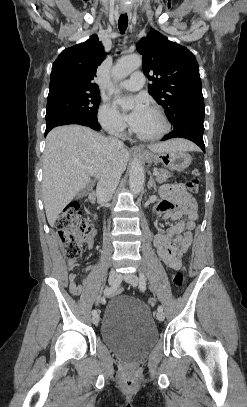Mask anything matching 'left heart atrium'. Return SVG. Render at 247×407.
<instances>
[{
    "label": "left heart atrium",
    "mask_w": 247,
    "mask_h": 407,
    "mask_svg": "<svg viewBox=\"0 0 247 407\" xmlns=\"http://www.w3.org/2000/svg\"><path fill=\"white\" fill-rule=\"evenodd\" d=\"M115 106L119 110L128 109V111L123 113V117L132 127H135L139 123L145 112L148 110L141 97L118 98L115 100Z\"/></svg>",
    "instance_id": "1"
}]
</instances>
